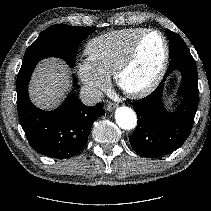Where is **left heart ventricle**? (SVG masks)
<instances>
[{"label": "left heart ventricle", "mask_w": 211, "mask_h": 211, "mask_svg": "<svg viewBox=\"0 0 211 211\" xmlns=\"http://www.w3.org/2000/svg\"><path fill=\"white\" fill-rule=\"evenodd\" d=\"M163 51L161 37L156 33L148 34L140 46L134 65L123 77V86L135 90L149 83L161 65Z\"/></svg>", "instance_id": "1"}]
</instances>
